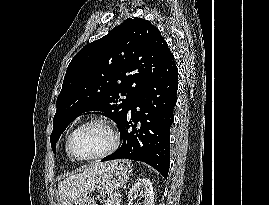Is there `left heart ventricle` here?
Wrapping results in <instances>:
<instances>
[{
    "instance_id": "b2bd125f",
    "label": "left heart ventricle",
    "mask_w": 269,
    "mask_h": 205,
    "mask_svg": "<svg viewBox=\"0 0 269 205\" xmlns=\"http://www.w3.org/2000/svg\"><path fill=\"white\" fill-rule=\"evenodd\" d=\"M111 138L101 124H90L76 132L72 140V149L79 157L99 154L109 148Z\"/></svg>"
}]
</instances>
